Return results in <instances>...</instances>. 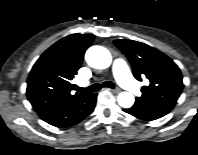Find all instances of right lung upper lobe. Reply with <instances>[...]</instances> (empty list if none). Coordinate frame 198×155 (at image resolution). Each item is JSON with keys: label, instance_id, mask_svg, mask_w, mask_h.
I'll list each match as a JSON object with an SVG mask.
<instances>
[{"label": "right lung upper lobe", "instance_id": "right-lung-upper-lobe-1", "mask_svg": "<svg viewBox=\"0 0 198 155\" xmlns=\"http://www.w3.org/2000/svg\"><path fill=\"white\" fill-rule=\"evenodd\" d=\"M92 34H72L46 50L33 66L27 81V97L37 113L69 103L83 95L72 92Z\"/></svg>", "mask_w": 198, "mask_h": 155}]
</instances>
